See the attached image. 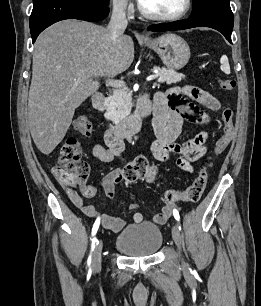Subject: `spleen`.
Returning <instances> with one entry per match:
<instances>
[{"mask_svg": "<svg viewBox=\"0 0 261 306\" xmlns=\"http://www.w3.org/2000/svg\"><path fill=\"white\" fill-rule=\"evenodd\" d=\"M220 63H221V70L225 73V74H230V65L228 62V58L226 55H223L220 59Z\"/></svg>", "mask_w": 261, "mask_h": 306, "instance_id": "obj_1", "label": "spleen"}]
</instances>
